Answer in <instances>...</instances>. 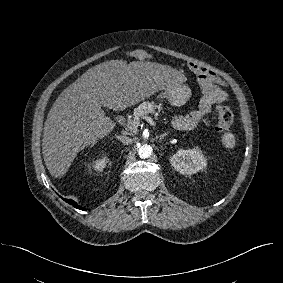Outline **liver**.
I'll return each instance as SVG.
<instances>
[{
    "label": "liver",
    "mask_w": 283,
    "mask_h": 283,
    "mask_svg": "<svg viewBox=\"0 0 283 283\" xmlns=\"http://www.w3.org/2000/svg\"><path fill=\"white\" fill-rule=\"evenodd\" d=\"M180 81L179 71L155 62L110 60L87 70L58 96L45 121L49 173L63 176L78 152L111 133L116 124L102 107L124 110Z\"/></svg>",
    "instance_id": "6515ba94"
}]
</instances>
